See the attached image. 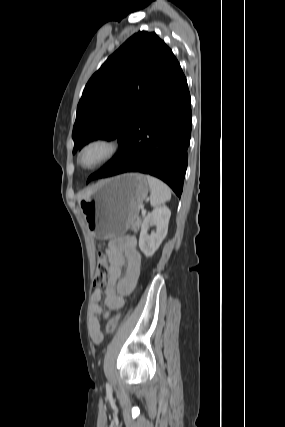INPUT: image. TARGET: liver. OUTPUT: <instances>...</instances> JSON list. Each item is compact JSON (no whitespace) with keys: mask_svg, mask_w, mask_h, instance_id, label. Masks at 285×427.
<instances>
[{"mask_svg":"<svg viewBox=\"0 0 285 427\" xmlns=\"http://www.w3.org/2000/svg\"><path fill=\"white\" fill-rule=\"evenodd\" d=\"M93 189L84 190L78 193V197H88L92 194Z\"/></svg>","mask_w":285,"mask_h":427,"instance_id":"liver-1","label":"liver"}]
</instances>
